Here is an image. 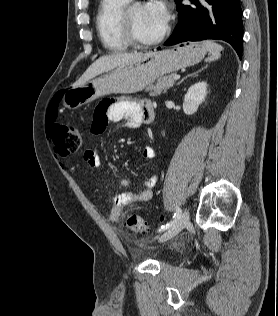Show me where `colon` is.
Returning <instances> with one entry per match:
<instances>
[{
    "instance_id": "5ec220e1",
    "label": "colon",
    "mask_w": 278,
    "mask_h": 316,
    "mask_svg": "<svg viewBox=\"0 0 278 316\" xmlns=\"http://www.w3.org/2000/svg\"><path fill=\"white\" fill-rule=\"evenodd\" d=\"M48 134L55 151L61 156L73 154L82 146V132L74 126L56 124L50 127ZM125 222L132 232L143 233L146 230L145 222L138 214H127Z\"/></svg>"
}]
</instances>
